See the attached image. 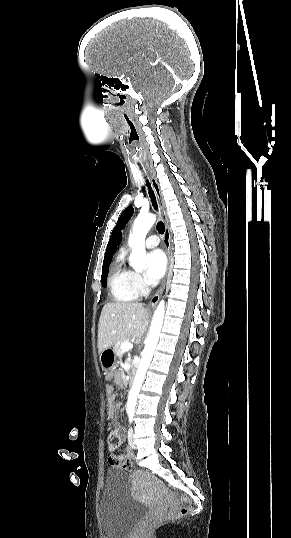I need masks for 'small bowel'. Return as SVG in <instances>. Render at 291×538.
<instances>
[{"label": "small bowel", "mask_w": 291, "mask_h": 538, "mask_svg": "<svg viewBox=\"0 0 291 538\" xmlns=\"http://www.w3.org/2000/svg\"><path fill=\"white\" fill-rule=\"evenodd\" d=\"M113 380L115 384L119 387L123 386V379L118 376L114 375ZM106 395H107V415L110 419H115L117 415V405L115 403L114 399V388L111 385H107L106 387ZM133 457L132 450L130 447H127L126 454L121 456H110L109 457V464L112 467H116L114 463H112L113 460H126Z\"/></svg>", "instance_id": "1"}]
</instances>
